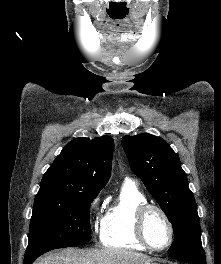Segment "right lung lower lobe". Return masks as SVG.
<instances>
[{"mask_svg":"<svg viewBox=\"0 0 221 264\" xmlns=\"http://www.w3.org/2000/svg\"><path fill=\"white\" fill-rule=\"evenodd\" d=\"M39 256L40 255H34V256H30L28 258H24V264H32L35 261V259Z\"/></svg>","mask_w":221,"mask_h":264,"instance_id":"1","label":"right lung lower lobe"}]
</instances>
